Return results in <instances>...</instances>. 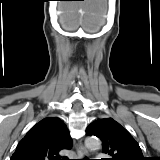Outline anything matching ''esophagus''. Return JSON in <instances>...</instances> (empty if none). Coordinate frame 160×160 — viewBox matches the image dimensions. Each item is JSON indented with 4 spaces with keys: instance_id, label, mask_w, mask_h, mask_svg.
<instances>
[{
    "instance_id": "obj_1",
    "label": "esophagus",
    "mask_w": 160,
    "mask_h": 160,
    "mask_svg": "<svg viewBox=\"0 0 160 160\" xmlns=\"http://www.w3.org/2000/svg\"><path fill=\"white\" fill-rule=\"evenodd\" d=\"M76 151H77V155H78V157H79L80 159L88 156V151H87V149L82 145L81 142L78 144V147H77Z\"/></svg>"
}]
</instances>
